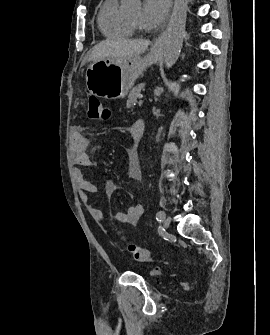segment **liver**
<instances>
[{"mask_svg":"<svg viewBox=\"0 0 270 335\" xmlns=\"http://www.w3.org/2000/svg\"><path fill=\"white\" fill-rule=\"evenodd\" d=\"M150 46L149 40H124L113 42L104 40L92 48L89 60H105V58H121V56H139Z\"/></svg>","mask_w":270,"mask_h":335,"instance_id":"6515ba94","label":"liver"}]
</instances>
